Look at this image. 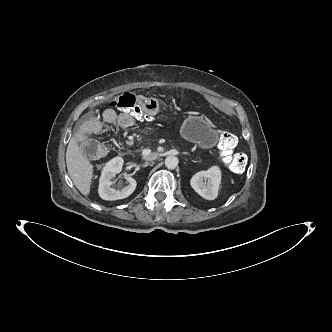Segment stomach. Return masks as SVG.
Returning a JSON list of instances; mask_svg holds the SVG:
<instances>
[{
  "mask_svg": "<svg viewBox=\"0 0 332 332\" xmlns=\"http://www.w3.org/2000/svg\"><path fill=\"white\" fill-rule=\"evenodd\" d=\"M180 132L187 140L207 147L215 146L219 138L210 122L198 116L187 117L182 123Z\"/></svg>",
  "mask_w": 332,
  "mask_h": 332,
  "instance_id": "0dacf381",
  "label": "stomach"
}]
</instances>
